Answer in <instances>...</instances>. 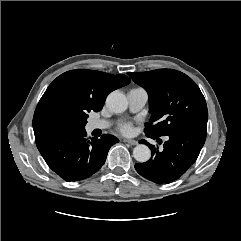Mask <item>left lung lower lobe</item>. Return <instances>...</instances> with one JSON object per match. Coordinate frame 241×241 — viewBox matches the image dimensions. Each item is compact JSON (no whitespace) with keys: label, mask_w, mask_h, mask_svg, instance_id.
<instances>
[{"label":"left lung lower lobe","mask_w":241,"mask_h":241,"mask_svg":"<svg viewBox=\"0 0 241 241\" xmlns=\"http://www.w3.org/2000/svg\"><path fill=\"white\" fill-rule=\"evenodd\" d=\"M207 129L195 128L167 135L163 151L148 144L151 158L145 163L135 164V169L144 178L157 184L171 183L183 175L196 161L206 139ZM146 136L156 139L153 135Z\"/></svg>","instance_id":"1"}]
</instances>
